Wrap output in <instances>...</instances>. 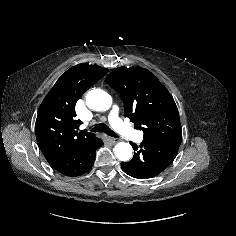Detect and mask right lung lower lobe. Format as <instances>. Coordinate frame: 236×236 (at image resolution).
Masks as SVG:
<instances>
[{
  "instance_id": "1",
  "label": "right lung lower lobe",
  "mask_w": 236,
  "mask_h": 236,
  "mask_svg": "<svg viewBox=\"0 0 236 236\" xmlns=\"http://www.w3.org/2000/svg\"><path fill=\"white\" fill-rule=\"evenodd\" d=\"M102 145V140L96 137L88 144L73 152L48 160V163L63 175L71 177L79 176L91 169L95 160V151Z\"/></svg>"
}]
</instances>
